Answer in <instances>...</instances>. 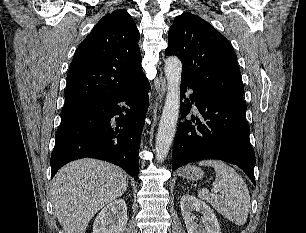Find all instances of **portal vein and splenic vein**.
I'll return each instance as SVG.
<instances>
[{"label":"portal vein and splenic vein","instance_id":"18ae733b","mask_svg":"<svg viewBox=\"0 0 306 233\" xmlns=\"http://www.w3.org/2000/svg\"><path fill=\"white\" fill-rule=\"evenodd\" d=\"M214 193H217V190H214Z\"/></svg>","mask_w":306,"mask_h":233}]
</instances>
